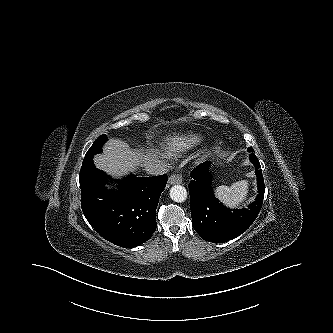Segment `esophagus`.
<instances>
[{
    "label": "esophagus",
    "instance_id": "esophagus-1",
    "mask_svg": "<svg viewBox=\"0 0 333 333\" xmlns=\"http://www.w3.org/2000/svg\"><path fill=\"white\" fill-rule=\"evenodd\" d=\"M182 180L183 178L180 173H174L169 177L168 185L181 184Z\"/></svg>",
    "mask_w": 333,
    "mask_h": 333
}]
</instances>
